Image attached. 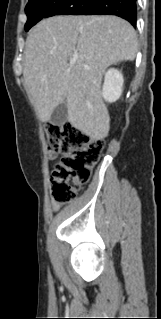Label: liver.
<instances>
[{
    "mask_svg": "<svg viewBox=\"0 0 161 319\" xmlns=\"http://www.w3.org/2000/svg\"><path fill=\"white\" fill-rule=\"evenodd\" d=\"M137 51L133 27L117 16L40 21L28 34L23 69L40 120L49 121L55 107L66 101L68 122L95 140L104 139L110 117L100 90L102 76L110 65L134 60Z\"/></svg>",
    "mask_w": 161,
    "mask_h": 319,
    "instance_id": "liver-1",
    "label": "liver"
}]
</instances>
